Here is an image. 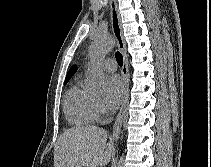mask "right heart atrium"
Masks as SVG:
<instances>
[{"mask_svg": "<svg viewBox=\"0 0 211 167\" xmlns=\"http://www.w3.org/2000/svg\"><path fill=\"white\" fill-rule=\"evenodd\" d=\"M94 108H95L96 114H100L103 111V108H102L100 102H98V101H94Z\"/></svg>", "mask_w": 211, "mask_h": 167, "instance_id": "d8ad5b80", "label": "right heart atrium"}]
</instances>
